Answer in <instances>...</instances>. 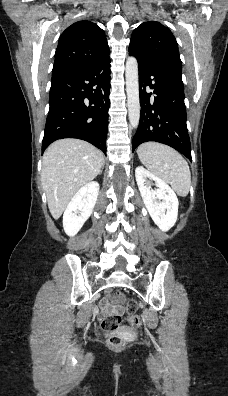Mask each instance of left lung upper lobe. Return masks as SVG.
<instances>
[{"mask_svg":"<svg viewBox=\"0 0 228 396\" xmlns=\"http://www.w3.org/2000/svg\"><path fill=\"white\" fill-rule=\"evenodd\" d=\"M129 51L141 61L182 71L176 39L170 29L159 22L148 21L137 27L132 33Z\"/></svg>","mask_w":228,"mask_h":396,"instance_id":"1","label":"left lung upper lobe"}]
</instances>
